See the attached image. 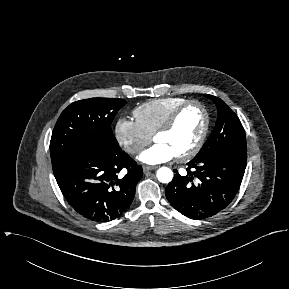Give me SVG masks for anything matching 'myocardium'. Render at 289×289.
<instances>
[{
  "label": "myocardium",
  "mask_w": 289,
  "mask_h": 289,
  "mask_svg": "<svg viewBox=\"0 0 289 289\" xmlns=\"http://www.w3.org/2000/svg\"><path fill=\"white\" fill-rule=\"evenodd\" d=\"M193 105L197 106L201 109V111L204 115V125H203L202 131H201L197 141L192 146V148H190L187 152L176 156L177 160L181 161V162L188 161V160L192 159L194 156H196L199 153V151L201 150V148L204 145V142L206 140V137H207L208 132H209V127H210V114H209L207 108L205 107V105L202 102H200L199 100H195V99L185 101L184 103L179 105L169 115V117L166 119V121L153 134V139L155 140L156 136H158L159 134L169 132L176 124V122H177L178 118L180 117V115L182 114V112L186 108H188L189 106H193Z\"/></svg>",
  "instance_id": "myocardium-1"
}]
</instances>
